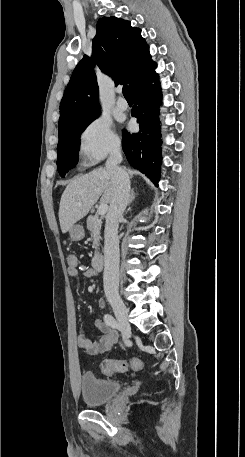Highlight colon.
I'll return each mask as SVG.
<instances>
[{"label":"colon","mask_w":245,"mask_h":457,"mask_svg":"<svg viewBox=\"0 0 245 457\" xmlns=\"http://www.w3.org/2000/svg\"><path fill=\"white\" fill-rule=\"evenodd\" d=\"M67 262L69 268L76 269L78 266V260L75 255H69L67 257ZM142 366V361L137 357H132L127 360L106 359L102 362V372L106 376H113L127 371H138L142 368Z\"/></svg>","instance_id":"obj_1"}]
</instances>
